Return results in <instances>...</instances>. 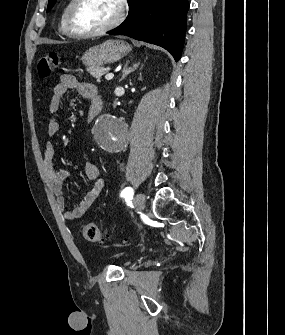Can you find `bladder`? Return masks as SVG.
Returning a JSON list of instances; mask_svg holds the SVG:
<instances>
[{"label":"bladder","mask_w":285,"mask_h":335,"mask_svg":"<svg viewBox=\"0 0 285 335\" xmlns=\"http://www.w3.org/2000/svg\"><path fill=\"white\" fill-rule=\"evenodd\" d=\"M125 258H134V261L136 260V255H128L127 257Z\"/></svg>","instance_id":"1"}]
</instances>
